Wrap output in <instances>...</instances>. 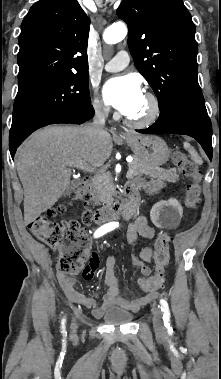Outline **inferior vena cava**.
Here are the masks:
<instances>
[{
  "instance_id": "inferior-vena-cava-1",
  "label": "inferior vena cava",
  "mask_w": 221,
  "mask_h": 379,
  "mask_svg": "<svg viewBox=\"0 0 221 379\" xmlns=\"http://www.w3.org/2000/svg\"><path fill=\"white\" fill-rule=\"evenodd\" d=\"M94 108L95 115L93 117V121L89 125L85 126V131L92 136L100 135L105 132V119L109 113L108 108H104L100 105H95Z\"/></svg>"
}]
</instances>
